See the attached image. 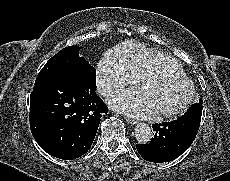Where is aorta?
Here are the masks:
<instances>
[{"instance_id": "1", "label": "aorta", "mask_w": 230, "mask_h": 181, "mask_svg": "<svg viewBox=\"0 0 230 181\" xmlns=\"http://www.w3.org/2000/svg\"><path fill=\"white\" fill-rule=\"evenodd\" d=\"M136 140L141 144H148L153 137L152 128L146 123H139L134 132Z\"/></svg>"}]
</instances>
